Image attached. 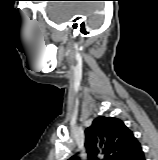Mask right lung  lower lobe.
<instances>
[{"mask_svg": "<svg viewBox=\"0 0 158 160\" xmlns=\"http://www.w3.org/2000/svg\"><path fill=\"white\" fill-rule=\"evenodd\" d=\"M127 160H145L141 146Z\"/></svg>", "mask_w": 158, "mask_h": 160, "instance_id": "1", "label": "right lung lower lobe"}]
</instances>
